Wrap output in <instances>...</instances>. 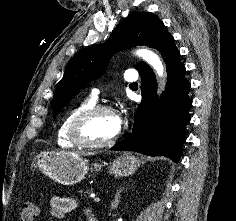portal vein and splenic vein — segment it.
Masks as SVG:
<instances>
[{
  "label": "portal vein and splenic vein",
  "instance_id": "obj_1",
  "mask_svg": "<svg viewBox=\"0 0 236 221\" xmlns=\"http://www.w3.org/2000/svg\"><path fill=\"white\" fill-rule=\"evenodd\" d=\"M93 200H94V202H100V198L99 197H94Z\"/></svg>",
  "mask_w": 236,
  "mask_h": 221
}]
</instances>
